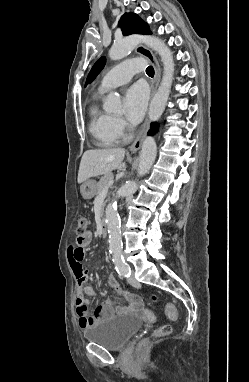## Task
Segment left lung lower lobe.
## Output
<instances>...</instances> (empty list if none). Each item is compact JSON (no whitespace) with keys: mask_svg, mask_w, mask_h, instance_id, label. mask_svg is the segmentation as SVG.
I'll use <instances>...</instances> for the list:
<instances>
[{"mask_svg":"<svg viewBox=\"0 0 249 382\" xmlns=\"http://www.w3.org/2000/svg\"><path fill=\"white\" fill-rule=\"evenodd\" d=\"M156 130H157L156 123H153V124L151 125V129H150V131H149V135H153V134L156 132Z\"/></svg>","mask_w":249,"mask_h":382,"instance_id":"0a47b994","label":"left lung lower lobe"}]
</instances>
